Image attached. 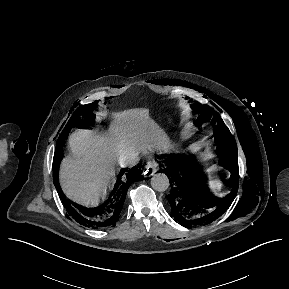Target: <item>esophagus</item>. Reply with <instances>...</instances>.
<instances>
[{"label": "esophagus", "mask_w": 289, "mask_h": 289, "mask_svg": "<svg viewBox=\"0 0 289 289\" xmlns=\"http://www.w3.org/2000/svg\"><path fill=\"white\" fill-rule=\"evenodd\" d=\"M158 170V163L154 160L148 161L145 166V176L150 177Z\"/></svg>", "instance_id": "esophagus-1"}]
</instances>
